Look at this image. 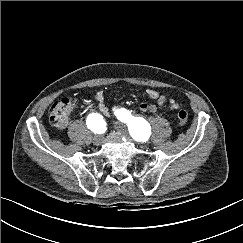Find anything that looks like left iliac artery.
<instances>
[{
  "instance_id": "44dca946",
  "label": "left iliac artery",
  "mask_w": 243,
  "mask_h": 243,
  "mask_svg": "<svg viewBox=\"0 0 243 243\" xmlns=\"http://www.w3.org/2000/svg\"><path fill=\"white\" fill-rule=\"evenodd\" d=\"M117 118L128 124L129 132L136 141H145L149 124L141 117H134L124 108L115 111ZM146 138V139H145Z\"/></svg>"
}]
</instances>
